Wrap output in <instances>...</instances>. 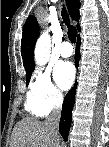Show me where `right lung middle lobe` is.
Here are the masks:
<instances>
[{
  "label": "right lung middle lobe",
  "mask_w": 109,
  "mask_h": 147,
  "mask_svg": "<svg viewBox=\"0 0 109 147\" xmlns=\"http://www.w3.org/2000/svg\"><path fill=\"white\" fill-rule=\"evenodd\" d=\"M32 72H33V70L30 71V72H27V73H26L27 83H29V81H30V78H31V74H32Z\"/></svg>",
  "instance_id": "right-lung-middle-lobe-1"
}]
</instances>
